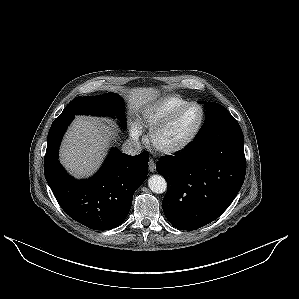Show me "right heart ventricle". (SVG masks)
<instances>
[{
    "instance_id": "obj_1",
    "label": "right heart ventricle",
    "mask_w": 299,
    "mask_h": 299,
    "mask_svg": "<svg viewBox=\"0 0 299 299\" xmlns=\"http://www.w3.org/2000/svg\"><path fill=\"white\" fill-rule=\"evenodd\" d=\"M187 102L189 101L180 95H166L148 106L144 110L140 121L142 124L152 128Z\"/></svg>"
}]
</instances>
